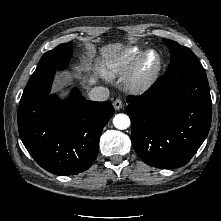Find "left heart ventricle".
<instances>
[{
  "label": "left heart ventricle",
  "instance_id": "obj_1",
  "mask_svg": "<svg viewBox=\"0 0 221 221\" xmlns=\"http://www.w3.org/2000/svg\"><path fill=\"white\" fill-rule=\"evenodd\" d=\"M154 55H150L149 58L146 61V67L149 68L154 64Z\"/></svg>",
  "mask_w": 221,
  "mask_h": 221
}]
</instances>
